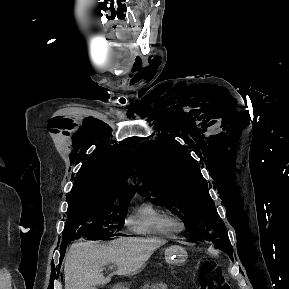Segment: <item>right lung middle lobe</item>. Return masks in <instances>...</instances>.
<instances>
[{"mask_svg":"<svg viewBox=\"0 0 289 289\" xmlns=\"http://www.w3.org/2000/svg\"><path fill=\"white\" fill-rule=\"evenodd\" d=\"M129 200L118 196L71 199L61 245L79 237L101 240L114 236L108 231L113 228L110 221L118 222V229L122 228Z\"/></svg>","mask_w":289,"mask_h":289,"instance_id":"dd1d6c3e","label":"right lung middle lobe"}]
</instances>
